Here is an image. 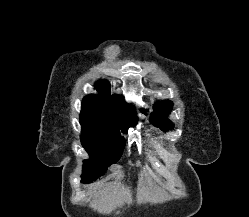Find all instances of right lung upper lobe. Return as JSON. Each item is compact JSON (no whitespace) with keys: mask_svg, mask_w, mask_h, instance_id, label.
<instances>
[{"mask_svg":"<svg viewBox=\"0 0 249 217\" xmlns=\"http://www.w3.org/2000/svg\"><path fill=\"white\" fill-rule=\"evenodd\" d=\"M95 85L102 94L86 96L82 102V109L112 117L126 126L134 125L137 120L134 108L125 104L120 96L110 94L109 82L100 80ZM141 112L144 113L145 110L141 109Z\"/></svg>","mask_w":249,"mask_h":217,"instance_id":"obj_1","label":"right lung upper lobe"}]
</instances>
